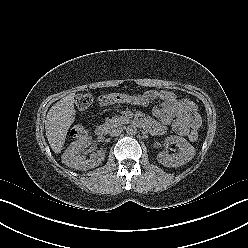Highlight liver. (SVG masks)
<instances>
[{"label": "liver", "instance_id": "6515ba94", "mask_svg": "<svg viewBox=\"0 0 248 248\" xmlns=\"http://www.w3.org/2000/svg\"><path fill=\"white\" fill-rule=\"evenodd\" d=\"M74 97L75 94L71 93L56 102L46 116V136L51 149L57 154L62 151L67 132L75 120Z\"/></svg>", "mask_w": 248, "mask_h": 248}]
</instances>
